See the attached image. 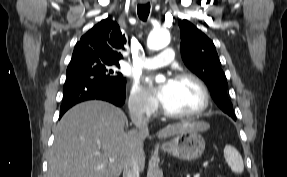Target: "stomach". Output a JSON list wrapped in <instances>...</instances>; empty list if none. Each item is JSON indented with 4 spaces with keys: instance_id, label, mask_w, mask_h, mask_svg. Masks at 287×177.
<instances>
[{
    "instance_id": "obj_1",
    "label": "stomach",
    "mask_w": 287,
    "mask_h": 177,
    "mask_svg": "<svg viewBox=\"0 0 287 177\" xmlns=\"http://www.w3.org/2000/svg\"><path fill=\"white\" fill-rule=\"evenodd\" d=\"M162 150L185 161L198 159L205 150V140L198 130L187 128L164 143Z\"/></svg>"
}]
</instances>
